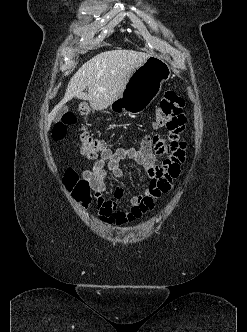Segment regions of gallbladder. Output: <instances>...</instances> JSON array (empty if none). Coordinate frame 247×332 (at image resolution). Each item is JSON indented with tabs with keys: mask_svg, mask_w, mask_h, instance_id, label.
Masks as SVG:
<instances>
[{
	"mask_svg": "<svg viewBox=\"0 0 247 332\" xmlns=\"http://www.w3.org/2000/svg\"><path fill=\"white\" fill-rule=\"evenodd\" d=\"M67 111H68V107L67 106H62L61 108H59V110L57 111L56 116H55L56 120H58Z\"/></svg>",
	"mask_w": 247,
	"mask_h": 332,
	"instance_id": "obj_1",
	"label": "gallbladder"
}]
</instances>
